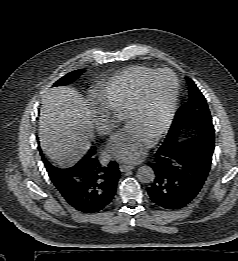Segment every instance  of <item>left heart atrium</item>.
Returning <instances> with one entry per match:
<instances>
[{"mask_svg": "<svg viewBox=\"0 0 238 261\" xmlns=\"http://www.w3.org/2000/svg\"><path fill=\"white\" fill-rule=\"evenodd\" d=\"M152 136L134 125H127L110 139L108 152L119 160L138 162L151 146Z\"/></svg>", "mask_w": 238, "mask_h": 261, "instance_id": "left-heart-atrium-1", "label": "left heart atrium"}]
</instances>
